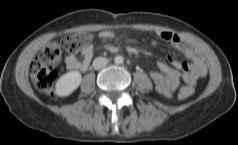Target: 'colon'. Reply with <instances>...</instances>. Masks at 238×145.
I'll list each match as a JSON object with an SVG mask.
<instances>
[{
    "label": "colon",
    "mask_w": 238,
    "mask_h": 145,
    "mask_svg": "<svg viewBox=\"0 0 238 145\" xmlns=\"http://www.w3.org/2000/svg\"><path fill=\"white\" fill-rule=\"evenodd\" d=\"M91 41L89 33H77L64 37L60 42H52L45 46L34 59L30 67V78L37 90L56 97L54 82L57 78L55 67L62 58V49L69 53L81 51ZM192 87L183 86L178 93L180 99L192 96Z\"/></svg>",
    "instance_id": "1"
}]
</instances>
